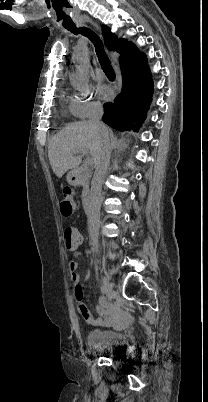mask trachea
I'll list each match as a JSON object with an SVG mask.
<instances>
[{
	"instance_id": "trachea-1",
	"label": "trachea",
	"mask_w": 208,
	"mask_h": 402,
	"mask_svg": "<svg viewBox=\"0 0 208 402\" xmlns=\"http://www.w3.org/2000/svg\"><path fill=\"white\" fill-rule=\"evenodd\" d=\"M67 30H69L71 33H74V35L82 34L88 37L89 40L95 46L96 54L102 67V70L105 72L107 77H115V72L112 68L110 60L104 51L103 43L95 32L90 30V28L86 27H80V28L69 27L67 28Z\"/></svg>"
}]
</instances>
